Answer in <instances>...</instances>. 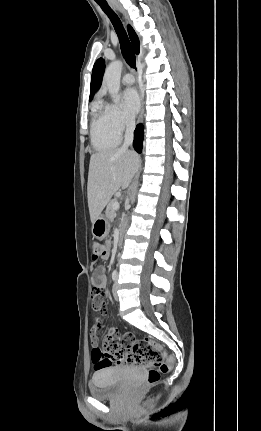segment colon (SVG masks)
Returning <instances> with one entry per match:
<instances>
[{"mask_svg":"<svg viewBox=\"0 0 261 431\" xmlns=\"http://www.w3.org/2000/svg\"><path fill=\"white\" fill-rule=\"evenodd\" d=\"M91 248L93 262L104 258L108 253L107 245L98 241H93ZM93 358L94 369L113 367L112 359L144 367L147 370L146 381L148 384L156 383L161 374L167 372L170 366L165 351L158 343L147 338L136 339L131 333L124 334L119 345H116L112 339L106 338L102 348L93 351ZM139 391V388H135L132 390V394H137Z\"/></svg>","mask_w":261,"mask_h":431,"instance_id":"obj_1","label":"colon"}]
</instances>
